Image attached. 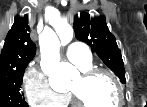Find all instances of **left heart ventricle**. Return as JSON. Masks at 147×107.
<instances>
[{
    "instance_id": "b2bd125f",
    "label": "left heart ventricle",
    "mask_w": 147,
    "mask_h": 107,
    "mask_svg": "<svg viewBox=\"0 0 147 107\" xmlns=\"http://www.w3.org/2000/svg\"><path fill=\"white\" fill-rule=\"evenodd\" d=\"M70 89L89 107H113L117 102L116 88L105 75H98L89 81L79 76Z\"/></svg>"
}]
</instances>
